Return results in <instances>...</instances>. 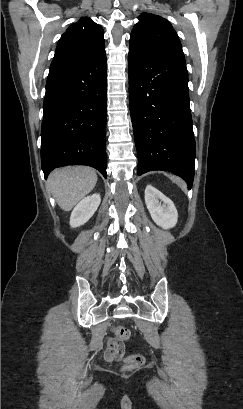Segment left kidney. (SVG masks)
Here are the masks:
<instances>
[{"label":"left kidney","mask_w":243,"mask_h":409,"mask_svg":"<svg viewBox=\"0 0 243 409\" xmlns=\"http://www.w3.org/2000/svg\"><path fill=\"white\" fill-rule=\"evenodd\" d=\"M145 203L157 225L163 229H170L176 225L178 213L174 203L151 185L145 189Z\"/></svg>","instance_id":"left-kidney-1"}]
</instances>
